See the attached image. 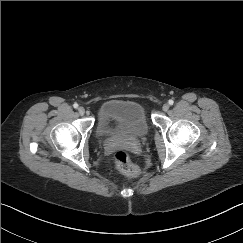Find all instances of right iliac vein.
Listing matches in <instances>:
<instances>
[{
	"mask_svg": "<svg viewBox=\"0 0 243 243\" xmlns=\"http://www.w3.org/2000/svg\"><path fill=\"white\" fill-rule=\"evenodd\" d=\"M78 112H79L80 115H83L85 113L84 107H79Z\"/></svg>",
	"mask_w": 243,
	"mask_h": 243,
	"instance_id": "obj_1",
	"label": "right iliac vein"
}]
</instances>
